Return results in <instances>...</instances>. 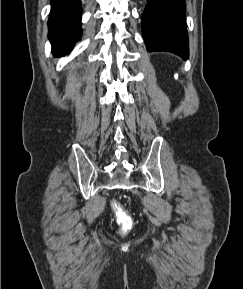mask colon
<instances>
[{
    "instance_id": "obj_1",
    "label": "colon",
    "mask_w": 243,
    "mask_h": 289,
    "mask_svg": "<svg viewBox=\"0 0 243 289\" xmlns=\"http://www.w3.org/2000/svg\"><path fill=\"white\" fill-rule=\"evenodd\" d=\"M112 209L114 211L116 221L120 227V233L127 234L133 227V220L131 216L116 200L112 202Z\"/></svg>"
}]
</instances>
